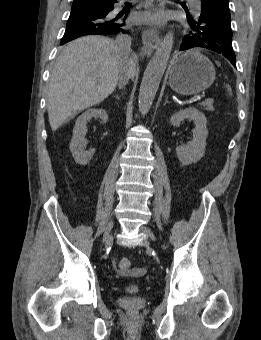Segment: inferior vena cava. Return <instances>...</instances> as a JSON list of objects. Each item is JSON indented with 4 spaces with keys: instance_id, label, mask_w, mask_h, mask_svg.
Here are the masks:
<instances>
[{
    "instance_id": "1",
    "label": "inferior vena cava",
    "mask_w": 261,
    "mask_h": 340,
    "mask_svg": "<svg viewBox=\"0 0 261 340\" xmlns=\"http://www.w3.org/2000/svg\"><path fill=\"white\" fill-rule=\"evenodd\" d=\"M116 49L124 57H129L131 54V38L128 35H119L114 41ZM132 77L130 69L124 70L119 77V86L126 85L129 78Z\"/></svg>"
}]
</instances>
